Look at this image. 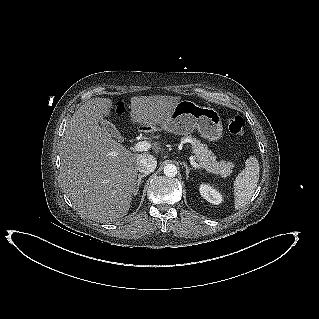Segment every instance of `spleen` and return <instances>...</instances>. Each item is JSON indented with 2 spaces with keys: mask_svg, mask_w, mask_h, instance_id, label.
Wrapping results in <instances>:
<instances>
[{
  "mask_svg": "<svg viewBox=\"0 0 319 319\" xmlns=\"http://www.w3.org/2000/svg\"><path fill=\"white\" fill-rule=\"evenodd\" d=\"M259 163L255 157H249L245 168L238 174L234 181V208L244 207L251 199L259 180Z\"/></svg>",
  "mask_w": 319,
  "mask_h": 319,
  "instance_id": "spleen-1",
  "label": "spleen"
}]
</instances>
